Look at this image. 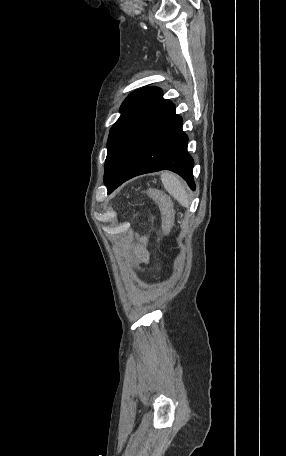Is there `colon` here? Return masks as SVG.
Here are the masks:
<instances>
[{
	"label": "colon",
	"instance_id": "colon-1",
	"mask_svg": "<svg viewBox=\"0 0 286 456\" xmlns=\"http://www.w3.org/2000/svg\"><path fill=\"white\" fill-rule=\"evenodd\" d=\"M148 194L159 204L163 213L164 227L165 229H168L172 216V205L170 199L163 192L156 188L149 189Z\"/></svg>",
	"mask_w": 286,
	"mask_h": 456
}]
</instances>
